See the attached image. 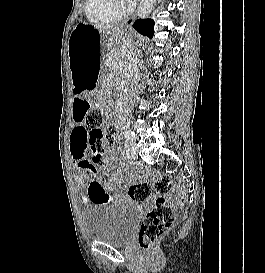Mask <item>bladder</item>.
<instances>
[{"instance_id": "31cf9c89", "label": "bladder", "mask_w": 265, "mask_h": 273, "mask_svg": "<svg viewBox=\"0 0 265 273\" xmlns=\"http://www.w3.org/2000/svg\"><path fill=\"white\" fill-rule=\"evenodd\" d=\"M138 218L139 212L135 206L107 202L85 209L81 216L88 240L112 246H122L130 241Z\"/></svg>"}]
</instances>
